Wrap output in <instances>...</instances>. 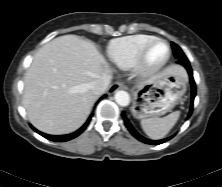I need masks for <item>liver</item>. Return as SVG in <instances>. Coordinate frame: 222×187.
<instances>
[{
  "instance_id": "obj_1",
  "label": "liver",
  "mask_w": 222,
  "mask_h": 187,
  "mask_svg": "<svg viewBox=\"0 0 222 187\" xmlns=\"http://www.w3.org/2000/svg\"><path fill=\"white\" fill-rule=\"evenodd\" d=\"M169 69L184 71L180 66ZM110 73L91 41L76 35L51 40L38 50L25 74L23 106L29 121L48 134L76 131L99 97L91 91V83Z\"/></svg>"
}]
</instances>
